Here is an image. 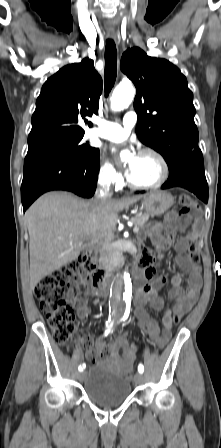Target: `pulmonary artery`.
Here are the masks:
<instances>
[{
    "mask_svg": "<svg viewBox=\"0 0 221 448\" xmlns=\"http://www.w3.org/2000/svg\"><path fill=\"white\" fill-rule=\"evenodd\" d=\"M136 120L137 116L135 112L129 111L123 118V126L114 122L101 121L98 127L90 131V135L93 137H102L110 141H122L129 136Z\"/></svg>",
    "mask_w": 221,
    "mask_h": 448,
    "instance_id": "e3ab8cb5",
    "label": "pulmonary artery"
}]
</instances>
